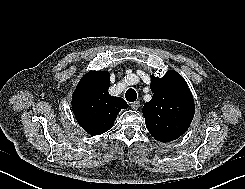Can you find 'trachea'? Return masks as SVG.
Here are the masks:
<instances>
[{
	"instance_id": "1",
	"label": "trachea",
	"mask_w": 245,
	"mask_h": 189,
	"mask_svg": "<svg viewBox=\"0 0 245 189\" xmlns=\"http://www.w3.org/2000/svg\"><path fill=\"white\" fill-rule=\"evenodd\" d=\"M125 98L129 102H134L137 99V93L134 89H128L125 93Z\"/></svg>"
}]
</instances>
